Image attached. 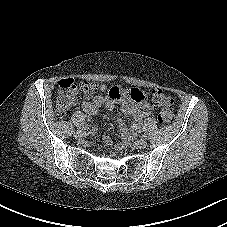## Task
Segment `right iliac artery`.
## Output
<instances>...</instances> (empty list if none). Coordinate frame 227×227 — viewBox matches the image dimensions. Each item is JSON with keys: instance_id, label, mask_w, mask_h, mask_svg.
<instances>
[{"instance_id": "obj_1", "label": "right iliac artery", "mask_w": 227, "mask_h": 227, "mask_svg": "<svg viewBox=\"0 0 227 227\" xmlns=\"http://www.w3.org/2000/svg\"><path fill=\"white\" fill-rule=\"evenodd\" d=\"M77 128H78V130H80V131H81V130H83V128H84V127H83V125H81V124H80V125H78V127H77Z\"/></svg>"}]
</instances>
